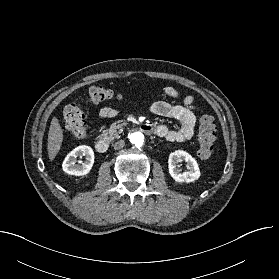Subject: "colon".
I'll return each mask as SVG.
<instances>
[{"mask_svg":"<svg viewBox=\"0 0 279 279\" xmlns=\"http://www.w3.org/2000/svg\"><path fill=\"white\" fill-rule=\"evenodd\" d=\"M114 97L120 98L111 89L103 86H93L88 90L87 99L90 103H100ZM63 121L66 128L77 138L86 136L85 114L76 103H68L63 109ZM198 155L202 159L211 157L214 151L215 126L208 115H203L198 128Z\"/></svg>","mask_w":279,"mask_h":279,"instance_id":"colon-1","label":"colon"}]
</instances>
